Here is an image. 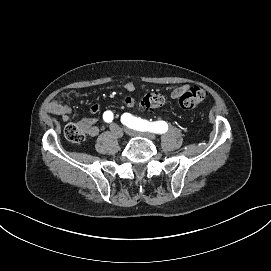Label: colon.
I'll return each instance as SVG.
<instances>
[{
	"label": "colon",
	"mask_w": 271,
	"mask_h": 271,
	"mask_svg": "<svg viewBox=\"0 0 271 271\" xmlns=\"http://www.w3.org/2000/svg\"><path fill=\"white\" fill-rule=\"evenodd\" d=\"M206 91L200 87H190L180 97V105L184 109L196 108L205 98ZM166 97L158 91H149L139 100V107L143 109H155L164 105ZM67 140L73 143H80L85 139L86 130L84 126L75 123L68 124L64 130Z\"/></svg>",
	"instance_id": "colon-1"
}]
</instances>
